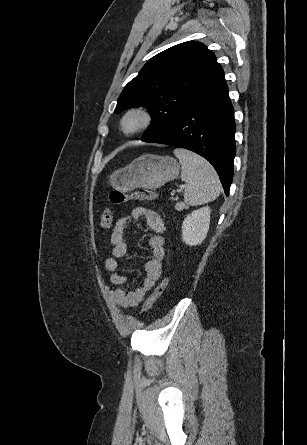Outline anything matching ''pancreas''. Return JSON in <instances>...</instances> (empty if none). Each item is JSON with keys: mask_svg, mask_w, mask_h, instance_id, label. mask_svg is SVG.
<instances>
[{"mask_svg": "<svg viewBox=\"0 0 307 445\" xmlns=\"http://www.w3.org/2000/svg\"><path fill=\"white\" fill-rule=\"evenodd\" d=\"M178 196H176V198H173V200H177Z\"/></svg>", "mask_w": 307, "mask_h": 445, "instance_id": "1", "label": "pancreas"}]
</instances>
